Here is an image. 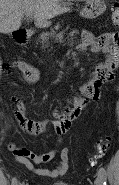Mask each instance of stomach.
Wrapping results in <instances>:
<instances>
[{
  "label": "stomach",
  "mask_w": 119,
  "mask_h": 185,
  "mask_svg": "<svg viewBox=\"0 0 119 185\" xmlns=\"http://www.w3.org/2000/svg\"><path fill=\"white\" fill-rule=\"evenodd\" d=\"M86 5L81 11V16L88 19H93L100 16L106 10L104 0H85Z\"/></svg>",
  "instance_id": "1"
}]
</instances>
